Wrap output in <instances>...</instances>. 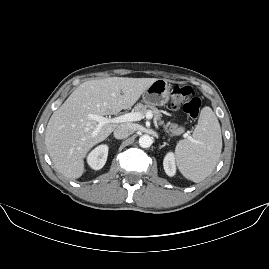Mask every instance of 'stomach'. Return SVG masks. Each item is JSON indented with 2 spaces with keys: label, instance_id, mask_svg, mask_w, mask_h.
<instances>
[{
  "label": "stomach",
  "instance_id": "1",
  "mask_svg": "<svg viewBox=\"0 0 269 269\" xmlns=\"http://www.w3.org/2000/svg\"><path fill=\"white\" fill-rule=\"evenodd\" d=\"M170 87L167 80L157 79L144 92L143 101L147 105L162 106L169 101Z\"/></svg>",
  "mask_w": 269,
  "mask_h": 269
}]
</instances>
